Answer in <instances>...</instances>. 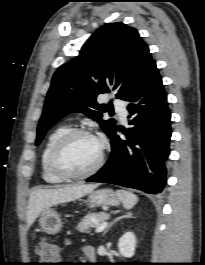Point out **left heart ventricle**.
<instances>
[{"label": "left heart ventricle", "instance_id": "left-heart-ventricle-1", "mask_svg": "<svg viewBox=\"0 0 205 265\" xmlns=\"http://www.w3.org/2000/svg\"><path fill=\"white\" fill-rule=\"evenodd\" d=\"M100 155L99 143L88 136L73 138L59 155L58 163L67 172L73 174L89 170Z\"/></svg>", "mask_w": 205, "mask_h": 265}]
</instances>
